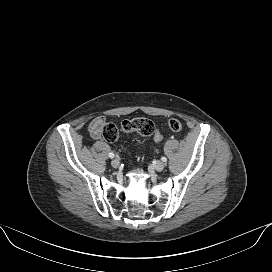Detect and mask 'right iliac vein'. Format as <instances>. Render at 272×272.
<instances>
[{
	"label": "right iliac vein",
	"mask_w": 272,
	"mask_h": 272,
	"mask_svg": "<svg viewBox=\"0 0 272 272\" xmlns=\"http://www.w3.org/2000/svg\"><path fill=\"white\" fill-rule=\"evenodd\" d=\"M111 165H112V167H114V168H118L119 165H120V162H119L118 159H113V160L111 161Z\"/></svg>",
	"instance_id": "1"
}]
</instances>
